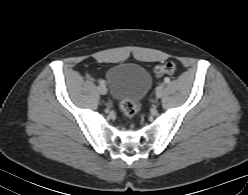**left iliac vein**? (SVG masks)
Returning a JSON list of instances; mask_svg holds the SVG:
<instances>
[{"label": "left iliac vein", "instance_id": "1", "mask_svg": "<svg viewBox=\"0 0 248 195\" xmlns=\"http://www.w3.org/2000/svg\"><path fill=\"white\" fill-rule=\"evenodd\" d=\"M163 91H164L163 85L158 86L157 89H156V97L157 98L162 97L163 96Z\"/></svg>", "mask_w": 248, "mask_h": 195}]
</instances>
